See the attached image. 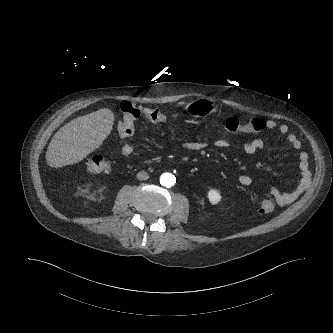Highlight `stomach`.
<instances>
[{
    "mask_svg": "<svg viewBox=\"0 0 333 333\" xmlns=\"http://www.w3.org/2000/svg\"><path fill=\"white\" fill-rule=\"evenodd\" d=\"M187 110L196 117L205 118L213 111H215V107L210 103L209 100L199 98L191 101L187 105Z\"/></svg>",
    "mask_w": 333,
    "mask_h": 333,
    "instance_id": "obj_1",
    "label": "stomach"
}]
</instances>
